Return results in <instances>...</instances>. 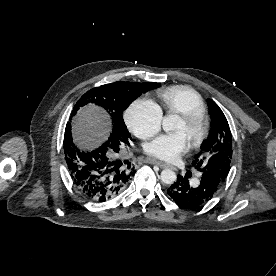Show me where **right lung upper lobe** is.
Instances as JSON below:
<instances>
[{"mask_svg": "<svg viewBox=\"0 0 276 276\" xmlns=\"http://www.w3.org/2000/svg\"><path fill=\"white\" fill-rule=\"evenodd\" d=\"M124 145H127V144H124ZM124 145H115V144H114V145H111V146L108 145V147L113 148V149H114V148H118V149H119L120 146H124ZM128 146H129V145H128Z\"/></svg>", "mask_w": 276, "mask_h": 276, "instance_id": "right-lung-upper-lobe-1", "label": "right lung upper lobe"}]
</instances>
